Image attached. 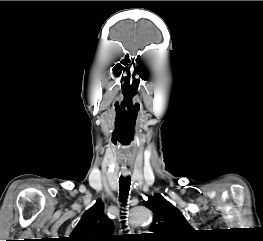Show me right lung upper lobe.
<instances>
[{"label":"right lung upper lobe","instance_id":"cb5924a9","mask_svg":"<svg viewBox=\"0 0 263 241\" xmlns=\"http://www.w3.org/2000/svg\"><path fill=\"white\" fill-rule=\"evenodd\" d=\"M104 204L99 199L89 208L75 229L68 237V241H111L113 239V225L103 214Z\"/></svg>","mask_w":263,"mask_h":241}]
</instances>
